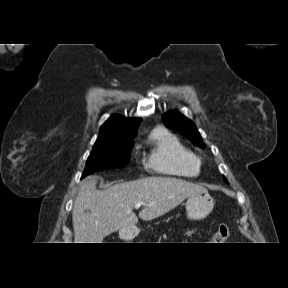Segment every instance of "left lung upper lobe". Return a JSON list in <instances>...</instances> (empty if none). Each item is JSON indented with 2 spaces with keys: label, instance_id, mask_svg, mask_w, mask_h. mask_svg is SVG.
Returning <instances> with one entry per match:
<instances>
[{
  "label": "left lung upper lobe",
  "instance_id": "left-lung-upper-lobe-1",
  "mask_svg": "<svg viewBox=\"0 0 288 288\" xmlns=\"http://www.w3.org/2000/svg\"><path fill=\"white\" fill-rule=\"evenodd\" d=\"M164 124L174 130H181L188 134L189 138L199 147H203L201 136L196 128V125L186 118L184 115L171 112L163 116ZM227 182V180L224 178Z\"/></svg>",
  "mask_w": 288,
  "mask_h": 288
}]
</instances>
